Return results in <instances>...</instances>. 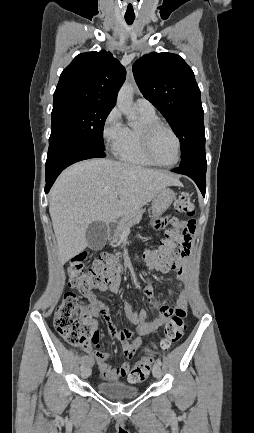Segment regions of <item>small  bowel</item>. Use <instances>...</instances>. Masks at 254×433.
Masks as SVG:
<instances>
[{"mask_svg":"<svg viewBox=\"0 0 254 433\" xmlns=\"http://www.w3.org/2000/svg\"><path fill=\"white\" fill-rule=\"evenodd\" d=\"M164 221H160L157 223V226H161ZM187 256H179L175 259H171L165 264L158 266L157 269L162 273H167L171 270L176 271L178 278L181 281H185L187 279ZM120 278L119 275L116 276L112 281L107 284L99 287V290H113L117 291L119 288ZM144 295L147 297L149 303L151 304L152 310L156 312V315L153 319L147 320L149 317V311L146 309L138 310L136 309L132 303L127 301L124 306V316L125 318L132 324L137 326V336L132 338V333L128 329H120L118 330L114 323L113 319L117 316L116 314H111L109 312V307L104 306L98 303L92 307L94 312L99 314L104 321L106 322L107 329L111 334H113L116 339L120 342L123 354L126 360L118 367L112 368L108 364V355L101 353L95 348L99 346V331L97 332L93 344L88 347V354L82 357V363L87 366H92L94 364L97 365L100 376L104 380L108 381H116L121 378H128L131 381L130 367L131 360L134 357L136 350L142 344V337L148 335L158 328H160L167 320V318L171 315V312L174 308H183L185 309V300L184 298H179L175 301L173 305H169L166 299H161L155 296L154 289L151 280H147L146 285L143 289ZM172 293V290H169V294ZM84 297L88 300L95 302L96 294L94 291L83 292ZM96 323V322H95ZM133 382V381H131Z\"/></svg>","mask_w":254,"mask_h":433,"instance_id":"obj_1","label":"small bowel"}]
</instances>
